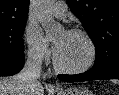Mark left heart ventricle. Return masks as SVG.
<instances>
[{
	"instance_id": "left-heart-ventricle-1",
	"label": "left heart ventricle",
	"mask_w": 119,
	"mask_h": 95,
	"mask_svg": "<svg viewBox=\"0 0 119 95\" xmlns=\"http://www.w3.org/2000/svg\"><path fill=\"white\" fill-rule=\"evenodd\" d=\"M55 44L59 47L56 58L64 67H80L89 58V46L80 35L63 32L56 38Z\"/></svg>"
}]
</instances>
